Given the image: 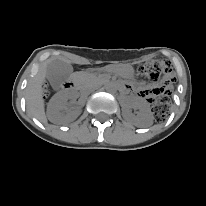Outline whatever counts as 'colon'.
<instances>
[{"label": "colon", "mask_w": 206, "mask_h": 206, "mask_svg": "<svg viewBox=\"0 0 206 206\" xmlns=\"http://www.w3.org/2000/svg\"><path fill=\"white\" fill-rule=\"evenodd\" d=\"M141 73L151 81H161L162 85L153 91L158 98L154 100L152 113L156 121H162L169 111L168 86L173 82V69L170 62L151 60L140 69Z\"/></svg>", "instance_id": "5ec220e1"}]
</instances>
